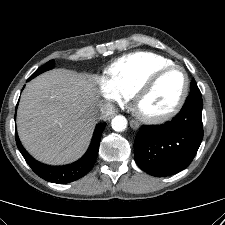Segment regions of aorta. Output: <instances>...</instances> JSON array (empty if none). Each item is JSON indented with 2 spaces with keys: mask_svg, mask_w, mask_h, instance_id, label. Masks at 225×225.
<instances>
[{
  "mask_svg": "<svg viewBox=\"0 0 225 225\" xmlns=\"http://www.w3.org/2000/svg\"><path fill=\"white\" fill-rule=\"evenodd\" d=\"M111 126L114 131L122 132L127 127V119L122 115H117L112 119Z\"/></svg>",
  "mask_w": 225,
  "mask_h": 225,
  "instance_id": "obj_1",
  "label": "aorta"
}]
</instances>
